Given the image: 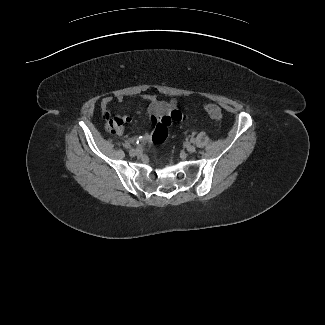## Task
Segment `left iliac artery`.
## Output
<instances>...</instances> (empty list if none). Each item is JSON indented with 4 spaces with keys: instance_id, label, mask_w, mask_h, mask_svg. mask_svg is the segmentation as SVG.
<instances>
[{
    "instance_id": "1",
    "label": "left iliac artery",
    "mask_w": 325,
    "mask_h": 325,
    "mask_svg": "<svg viewBox=\"0 0 325 325\" xmlns=\"http://www.w3.org/2000/svg\"><path fill=\"white\" fill-rule=\"evenodd\" d=\"M192 143H195V139L194 138H191L190 140Z\"/></svg>"
}]
</instances>
